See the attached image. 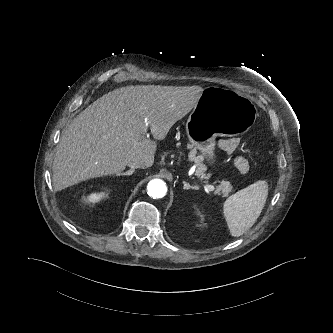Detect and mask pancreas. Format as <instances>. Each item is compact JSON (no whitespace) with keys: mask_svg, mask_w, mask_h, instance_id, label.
<instances>
[{"mask_svg":"<svg viewBox=\"0 0 333 333\" xmlns=\"http://www.w3.org/2000/svg\"><path fill=\"white\" fill-rule=\"evenodd\" d=\"M190 150L189 153V158L192 161H195L197 163V171L196 174L199 176L201 179H208L209 174H206L205 171L207 170L206 165L203 163L204 162V156L197 154V148L194 147L193 145L188 144L187 146ZM232 186L230 182L228 181H222L219 186H217L215 193L216 194H225L227 195L229 192H231Z\"/></svg>","mask_w":333,"mask_h":333,"instance_id":"1","label":"pancreas"}]
</instances>
